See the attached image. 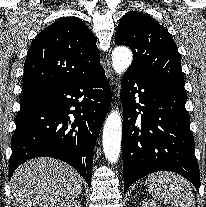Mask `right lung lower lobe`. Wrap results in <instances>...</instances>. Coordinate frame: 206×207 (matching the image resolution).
Returning a JSON list of instances; mask_svg holds the SVG:
<instances>
[{
  "label": "right lung lower lobe",
  "instance_id": "98d812e1",
  "mask_svg": "<svg viewBox=\"0 0 206 207\" xmlns=\"http://www.w3.org/2000/svg\"><path fill=\"white\" fill-rule=\"evenodd\" d=\"M22 97L29 102L16 116L9 178L29 159L52 157L74 167L90 187L94 144L112 99L104 69Z\"/></svg>",
  "mask_w": 206,
  "mask_h": 207
}]
</instances>
